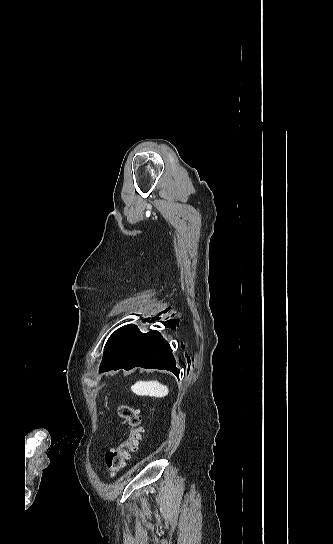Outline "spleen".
Returning a JSON list of instances; mask_svg holds the SVG:
<instances>
[{
	"instance_id": "1",
	"label": "spleen",
	"mask_w": 333,
	"mask_h": 544,
	"mask_svg": "<svg viewBox=\"0 0 333 544\" xmlns=\"http://www.w3.org/2000/svg\"><path fill=\"white\" fill-rule=\"evenodd\" d=\"M131 390L139 396H151L156 398H163L169 393L168 387L158 381L137 382L131 387Z\"/></svg>"
}]
</instances>
